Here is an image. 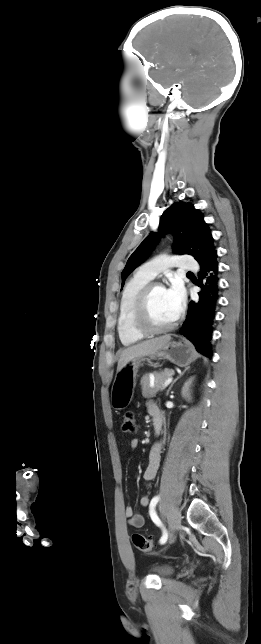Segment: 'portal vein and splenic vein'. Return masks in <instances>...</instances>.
<instances>
[{
	"instance_id": "obj_1",
	"label": "portal vein and splenic vein",
	"mask_w": 261,
	"mask_h": 644,
	"mask_svg": "<svg viewBox=\"0 0 261 644\" xmlns=\"http://www.w3.org/2000/svg\"><path fill=\"white\" fill-rule=\"evenodd\" d=\"M172 379H173L172 377H169V378L164 382V384H163V388H165L166 386H168V385L171 383Z\"/></svg>"
}]
</instances>
